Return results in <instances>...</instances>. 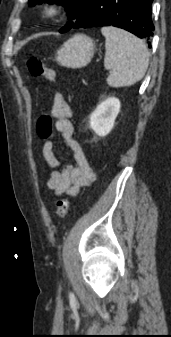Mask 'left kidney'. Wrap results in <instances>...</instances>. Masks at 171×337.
Wrapping results in <instances>:
<instances>
[{"label":"left kidney","mask_w":171,"mask_h":337,"mask_svg":"<svg viewBox=\"0 0 171 337\" xmlns=\"http://www.w3.org/2000/svg\"><path fill=\"white\" fill-rule=\"evenodd\" d=\"M120 107V101L115 97L102 101L90 115V128L99 136L108 135L114 126Z\"/></svg>","instance_id":"obj_1"}]
</instances>
